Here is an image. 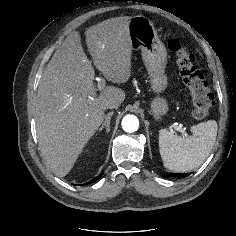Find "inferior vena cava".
I'll use <instances>...</instances> for the list:
<instances>
[{
	"instance_id": "1",
	"label": "inferior vena cava",
	"mask_w": 236,
	"mask_h": 236,
	"mask_svg": "<svg viewBox=\"0 0 236 236\" xmlns=\"http://www.w3.org/2000/svg\"><path fill=\"white\" fill-rule=\"evenodd\" d=\"M119 105L117 103H108L106 104V109H113V108H117Z\"/></svg>"
}]
</instances>
